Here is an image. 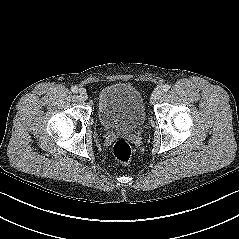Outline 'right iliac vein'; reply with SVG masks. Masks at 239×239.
Segmentation results:
<instances>
[{
  "instance_id": "obj_1",
  "label": "right iliac vein",
  "mask_w": 239,
  "mask_h": 239,
  "mask_svg": "<svg viewBox=\"0 0 239 239\" xmlns=\"http://www.w3.org/2000/svg\"><path fill=\"white\" fill-rule=\"evenodd\" d=\"M79 95L83 100H87L88 99V95L87 92L84 89H80L79 90Z\"/></svg>"
}]
</instances>
